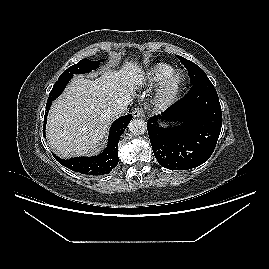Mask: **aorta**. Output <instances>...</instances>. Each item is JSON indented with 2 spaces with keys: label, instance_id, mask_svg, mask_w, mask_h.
<instances>
[{
  "label": "aorta",
  "instance_id": "obj_1",
  "mask_svg": "<svg viewBox=\"0 0 269 269\" xmlns=\"http://www.w3.org/2000/svg\"><path fill=\"white\" fill-rule=\"evenodd\" d=\"M129 131L133 135H142L147 130V124L144 120L133 119L128 125Z\"/></svg>",
  "mask_w": 269,
  "mask_h": 269
}]
</instances>
